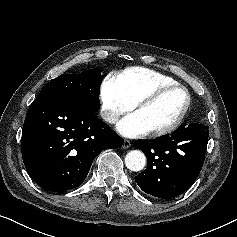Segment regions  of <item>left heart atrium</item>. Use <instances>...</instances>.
<instances>
[{
  "instance_id": "1",
  "label": "left heart atrium",
  "mask_w": 237,
  "mask_h": 237,
  "mask_svg": "<svg viewBox=\"0 0 237 237\" xmlns=\"http://www.w3.org/2000/svg\"><path fill=\"white\" fill-rule=\"evenodd\" d=\"M117 130L121 135L130 138L138 137L148 132L147 127L136 112L124 117L118 123Z\"/></svg>"
}]
</instances>
